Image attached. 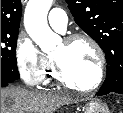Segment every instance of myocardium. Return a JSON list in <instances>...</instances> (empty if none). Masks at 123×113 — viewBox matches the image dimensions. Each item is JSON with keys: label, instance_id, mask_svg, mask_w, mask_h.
Masks as SVG:
<instances>
[{"label": "myocardium", "instance_id": "1", "mask_svg": "<svg viewBox=\"0 0 123 113\" xmlns=\"http://www.w3.org/2000/svg\"><path fill=\"white\" fill-rule=\"evenodd\" d=\"M76 41H86L94 49L96 56H97V60H98V66H97L98 70H97L96 78L87 86L78 85V84L72 82L67 77L60 62L55 57H52L54 74H55L56 80L59 83L65 85L71 89H74V90L82 92V93L91 92V91L95 90L102 83V81L105 77V66H106L105 53H104L101 45L97 42V40L95 38H93L92 36H90L89 34H85V33H75V34L69 35L68 37H66L64 39L63 43L65 45H71Z\"/></svg>", "mask_w": 123, "mask_h": 113}]
</instances>
